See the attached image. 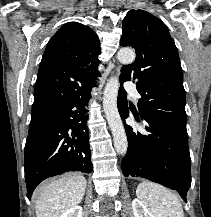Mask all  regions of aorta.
I'll list each match as a JSON object with an SVG mask.
<instances>
[{"label": "aorta", "instance_id": "1", "mask_svg": "<svg viewBox=\"0 0 211 217\" xmlns=\"http://www.w3.org/2000/svg\"><path fill=\"white\" fill-rule=\"evenodd\" d=\"M117 59L123 64H130L135 60V52L129 48H122L117 53ZM119 79L111 77L104 89L103 107L113 134L114 147L117 153L124 155L127 152L128 142L125 129L117 108Z\"/></svg>", "mask_w": 211, "mask_h": 217}]
</instances>
